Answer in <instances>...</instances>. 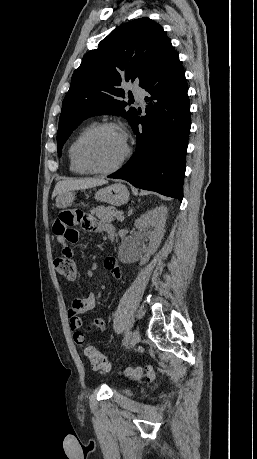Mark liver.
Returning a JSON list of instances; mask_svg holds the SVG:
<instances>
[{"instance_id": "obj_1", "label": "liver", "mask_w": 257, "mask_h": 459, "mask_svg": "<svg viewBox=\"0 0 257 459\" xmlns=\"http://www.w3.org/2000/svg\"><path fill=\"white\" fill-rule=\"evenodd\" d=\"M106 183L107 181L104 179H95V178L67 179V180L59 181L54 188L52 197L60 195L64 192L93 188L96 186L104 185Z\"/></svg>"}]
</instances>
